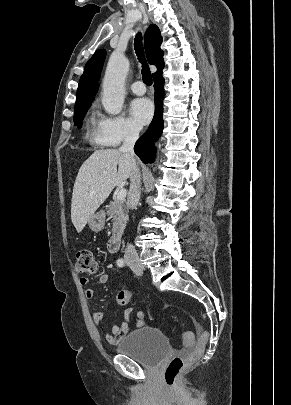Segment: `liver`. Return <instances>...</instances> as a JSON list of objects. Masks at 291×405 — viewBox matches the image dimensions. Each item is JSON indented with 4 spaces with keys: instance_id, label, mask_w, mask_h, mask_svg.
<instances>
[{
    "instance_id": "6515ba94",
    "label": "liver",
    "mask_w": 291,
    "mask_h": 405,
    "mask_svg": "<svg viewBox=\"0 0 291 405\" xmlns=\"http://www.w3.org/2000/svg\"><path fill=\"white\" fill-rule=\"evenodd\" d=\"M132 162L127 153L103 149L95 151L82 164L74 183L71 203V220L78 233L115 186L130 177Z\"/></svg>"
}]
</instances>
